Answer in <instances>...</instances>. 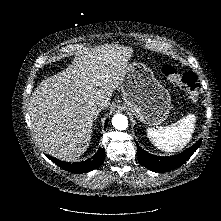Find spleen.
Masks as SVG:
<instances>
[{
  "instance_id": "3e777b00",
  "label": "spleen",
  "mask_w": 221,
  "mask_h": 221,
  "mask_svg": "<svg viewBox=\"0 0 221 221\" xmlns=\"http://www.w3.org/2000/svg\"><path fill=\"white\" fill-rule=\"evenodd\" d=\"M195 120V115L189 114L168 127L148 128L147 137L160 150H180L191 140Z\"/></svg>"
}]
</instances>
